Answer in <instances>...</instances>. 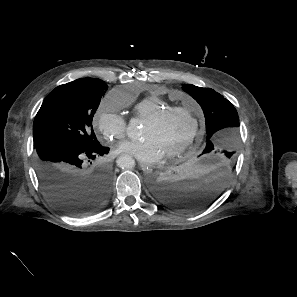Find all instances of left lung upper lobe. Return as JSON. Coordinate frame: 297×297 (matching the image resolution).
Returning <instances> with one entry per match:
<instances>
[{
	"instance_id": "obj_1",
	"label": "left lung upper lobe",
	"mask_w": 297,
	"mask_h": 297,
	"mask_svg": "<svg viewBox=\"0 0 297 297\" xmlns=\"http://www.w3.org/2000/svg\"><path fill=\"white\" fill-rule=\"evenodd\" d=\"M183 90L200 104L205 115L207 136L202 153L218 154L234 161L239 142V117L233 104L210 88L184 84Z\"/></svg>"
}]
</instances>
